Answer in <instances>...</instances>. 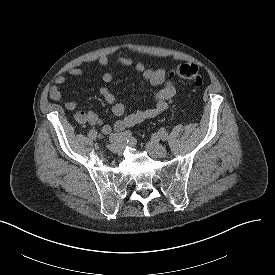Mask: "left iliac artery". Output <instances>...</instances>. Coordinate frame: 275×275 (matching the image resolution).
Segmentation results:
<instances>
[{
    "label": "left iliac artery",
    "mask_w": 275,
    "mask_h": 275,
    "mask_svg": "<svg viewBox=\"0 0 275 275\" xmlns=\"http://www.w3.org/2000/svg\"><path fill=\"white\" fill-rule=\"evenodd\" d=\"M158 135L163 141H166L168 139V133L166 132V130L164 128H161L158 131Z\"/></svg>",
    "instance_id": "left-iliac-artery-1"
}]
</instances>
